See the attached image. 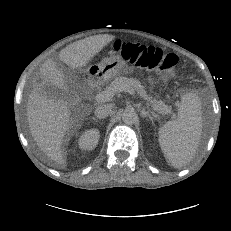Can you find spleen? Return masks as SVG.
I'll list each match as a JSON object with an SVG mask.
<instances>
[{"label": "spleen", "instance_id": "spleen-1", "mask_svg": "<svg viewBox=\"0 0 231 231\" xmlns=\"http://www.w3.org/2000/svg\"><path fill=\"white\" fill-rule=\"evenodd\" d=\"M202 134L201 103L198 95L182 96L177 117L158 132L159 144L168 163L174 168L188 164L197 151Z\"/></svg>", "mask_w": 231, "mask_h": 231}]
</instances>
